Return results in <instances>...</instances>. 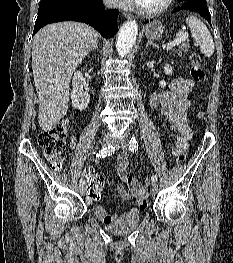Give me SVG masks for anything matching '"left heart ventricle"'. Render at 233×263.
<instances>
[{"label":"left heart ventricle","instance_id":"obj_1","mask_svg":"<svg viewBox=\"0 0 233 263\" xmlns=\"http://www.w3.org/2000/svg\"><path fill=\"white\" fill-rule=\"evenodd\" d=\"M165 0H139L138 5L143 8H156L163 4Z\"/></svg>","mask_w":233,"mask_h":263}]
</instances>
